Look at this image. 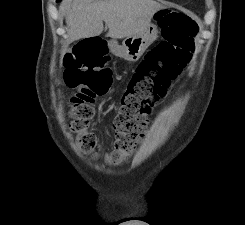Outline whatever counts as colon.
<instances>
[{
	"instance_id": "1",
	"label": "colon",
	"mask_w": 245,
	"mask_h": 225,
	"mask_svg": "<svg viewBox=\"0 0 245 225\" xmlns=\"http://www.w3.org/2000/svg\"><path fill=\"white\" fill-rule=\"evenodd\" d=\"M163 40L150 50L132 71L121 107L113 122L115 149L111 157L121 162L139 144L149 125L153 109L166 97L170 85L192 58L198 25L188 16L165 9L159 14ZM106 43L98 38H82L62 59L59 74L76 92L71 98L70 130L78 136L82 150L92 152L95 140L87 132L94 115V102L107 94L112 70Z\"/></svg>"
}]
</instances>
